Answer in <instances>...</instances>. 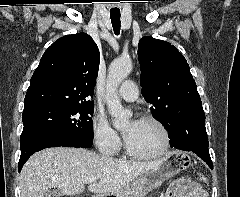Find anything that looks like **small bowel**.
Returning a JSON list of instances; mask_svg holds the SVG:
<instances>
[{
    "label": "small bowel",
    "instance_id": "1",
    "mask_svg": "<svg viewBox=\"0 0 240 197\" xmlns=\"http://www.w3.org/2000/svg\"><path fill=\"white\" fill-rule=\"evenodd\" d=\"M166 197H208L207 192L198 184L183 180L172 186Z\"/></svg>",
    "mask_w": 240,
    "mask_h": 197
}]
</instances>
